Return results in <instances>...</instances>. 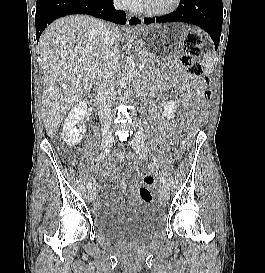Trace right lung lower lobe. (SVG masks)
<instances>
[{
    "instance_id": "1",
    "label": "right lung lower lobe",
    "mask_w": 265,
    "mask_h": 273,
    "mask_svg": "<svg viewBox=\"0 0 265 273\" xmlns=\"http://www.w3.org/2000/svg\"><path fill=\"white\" fill-rule=\"evenodd\" d=\"M70 14H88L118 24L126 23L124 11H116L113 0H37L36 39L48 24L59 17Z\"/></svg>"
}]
</instances>
